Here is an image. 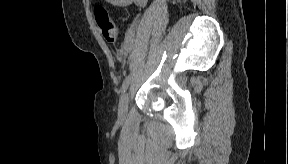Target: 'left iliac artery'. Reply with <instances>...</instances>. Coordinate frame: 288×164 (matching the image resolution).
<instances>
[{
	"label": "left iliac artery",
	"mask_w": 288,
	"mask_h": 164,
	"mask_svg": "<svg viewBox=\"0 0 288 164\" xmlns=\"http://www.w3.org/2000/svg\"><path fill=\"white\" fill-rule=\"evenodd\" d=\"M130 81H131V76L128 75V76L125 78V80L123 81V83H122V87H121V92H122V93H125V91H126L127 88L129 87Z\"/></svg>",
	"instance_id": "1"
}]
</instances>
